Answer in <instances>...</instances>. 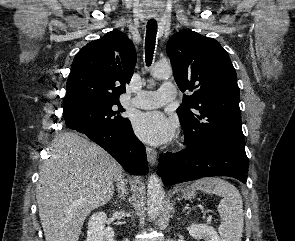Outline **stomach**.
Wrapping results in <instances>:
<instances>
[{"instance_id":"stomach-1","label":"stomach","mask_w":295,"mask_h":241,"mask_svg":"<svg viewBox=\"0 0 295 241\" xmlns=\"http://www.w3.org/2000/svg\"><path fill=\"white\" fill-rule=\"evenodd\" d=\"M181 194L183 198L190 200L195 197L196 191L189 186H185L181 189Z\"/></svg>"}]
</instances>
